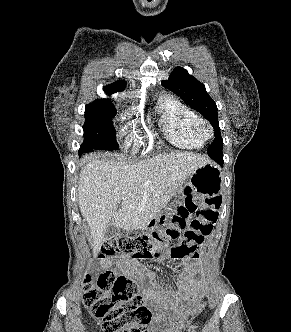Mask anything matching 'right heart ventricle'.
<instances>
[{"mask_svg": "<svg viewBox=\"0 0 291 332\" xmlns=\"http://www.w3.org/2000/svg\"><path fill=\"white\" fill-rule=\"evenodd\" d=\"M160 125L166 139L184 149L201 148L205 141L199 136L197 126L201 118L177 98H166L157 105Z\"/></svg>", "mask_w": 291, "mask_h": 332, "instance_id": "e07e8e85", "label": "right heart ventricle"}]
</instances>
